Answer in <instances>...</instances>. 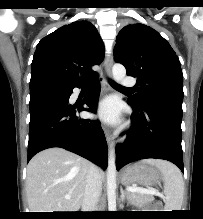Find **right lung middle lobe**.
<instances>
[{"instance_id":"right-lung-middle-lobe-1","label":"right lung middle lobe","mask_w":203,"mask_h":219,"mask_svg":"<svg viewBox=\"0 0 203 219\" xmlns=\"http://www.w3.org/2000/svg\"><path fill=\"white\" fill-rule=\"evenodd\" d=\"M63 86H65V84L53 80H38V81L30 82V92L39 88L63 87Z\"/></svg>"}]
</instances>
